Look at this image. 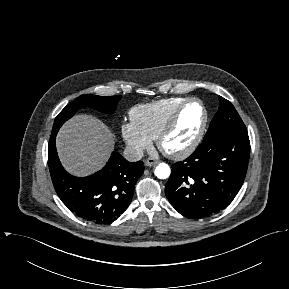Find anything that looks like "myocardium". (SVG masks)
Listing matches in <instances>:
<instances>
[{
  "label": "myocardium",
  "mask_w": 289,
  "mask_h": 289,
  "mask_svg": "<svg viewBox=\"0 0 289 289\" xmlns=\"http://www.w3.org/2000/svg\"><path fill=\"white\" fill-rule=\"evenodd\" d=\"M190 103H197L202 109L203 112V119L201 126L199 128V131L197 132L196 136L194 139L185 147L178 149V150H168L165 147V140L168 138V136L174 131L176 128L179 119L181 117L182 112L186 108L187 105ZM208 121H209V114L207 111L206 106L204 103L195 97L187 98L185 101H183L179 107L175 110L171 118L168 120L164 128L161 130L157 137V146L158 148L168 157L173 158V159H183L188 157L190 154H192L196 148L200 145L201 141L204 138V135L207 130L208 126Z\"/></svg>",
  "instance_id": "myocardium-1"
}]
</instances>
